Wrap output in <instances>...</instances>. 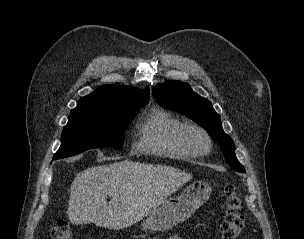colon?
<instances>
[{"label": "colon", "mask_w": 304, "mask_h": 239, "mask_svg": "<svg viewBox=\"0 0 304 239\" xmlns=\"http://www.w3.org/2000/svg\"><path fill=\"white\" fill-rule=\"evenodd\" d=\"M225 216L221 223L222 239H236L244 227L245 209L235 185L225 187ZM53 239H73V233L66 221H59L51 229Z\"/></svg>", "instance_id": "colon-1"}]
</instances>
